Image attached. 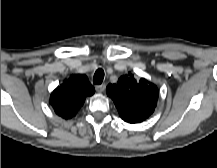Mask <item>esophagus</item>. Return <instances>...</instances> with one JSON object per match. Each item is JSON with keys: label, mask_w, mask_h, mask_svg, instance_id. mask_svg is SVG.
<instances>
[{"label": "esophagus", "mask_w": 217, "mask_h": 168, "mask_svg": "<svg viewBox=\"0 0 217 168\" xmlns=\"http://www.w3.org/2000/svg\"><path fill=\"white\" fill-rule=\"evenodd\" d=\"M105 88H106V85H105V84H101V85L95 86V90H96V92H98V93H102V92L105 90Z\"/></svg>", "instance_id": "1"}]
</instances>
